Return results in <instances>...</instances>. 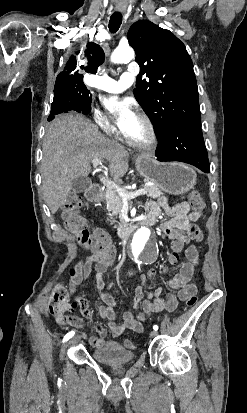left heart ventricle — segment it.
Listing matches in <instances>:
<instances>
[{"mask_svg":"<svg viewBox=\"0 0 247 413\" xmlns=\"http://www.w3.org/2000/svg\"><path fill=\"white\" fill-rule=\"evenodd\" d=\"M150 135L149 128L148 126L142 121L141 125L137 128H135L129 135L128 137L137 140V141H143L146 140Z\"/></svg>","mask_w":247,"mask_h":413,"instance_id":"1","label":"left heart ventricle"}]
</instances>
